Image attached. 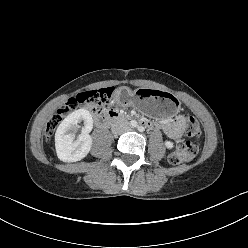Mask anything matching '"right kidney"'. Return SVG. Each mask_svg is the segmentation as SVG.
Instances as JSON below:
<instances>
[{
  "label": "right kidney",
  "mask_w": 248,
  "mask_h": 248,
  "mask_svg": "<svg viewBox=\"0 0 248 248\" xmlns=\"http://www.w3.org/2000/svg\"><path fill=\"white\" fill-rule=\"evenodd\" d=\"M81 121L84 122L82 133L74 140V130ZM92 128L93 120L88 110L79 109L69 114L58 126L55 134L58 158L63 162H76L85 158L92 146V137L89 135Z\"/></svg>",
  "instance_id": "1"
}]
</instances>
